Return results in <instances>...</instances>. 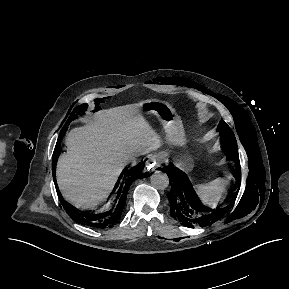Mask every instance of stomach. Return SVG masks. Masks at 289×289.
<instances>
[{
	"label": "stomach",
	"mask_w": 289,
	"mask_h": 289,
	"mask_svg": "<svg viewBox=\"0 0 289 289\" xmlns=\"http://www.w3.org/2000/svg\"><path fill=\"white\" fill-rule=\"evenodd\" d=\"M141 113H153L162 123L166 132L167 142L174 147H183L186 142V134L180 118L176 115L174 108L165 101L149 99L141 104ZM180 165L183 169L189 170L192 167L191 160L188 157L180 158Z\"/></svg>",
	"instance_id": "stomach-1"
}]
</instances>
